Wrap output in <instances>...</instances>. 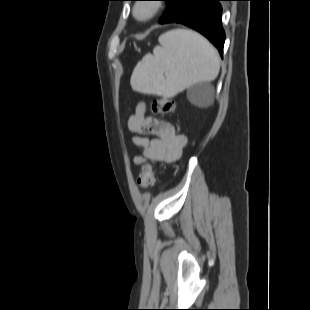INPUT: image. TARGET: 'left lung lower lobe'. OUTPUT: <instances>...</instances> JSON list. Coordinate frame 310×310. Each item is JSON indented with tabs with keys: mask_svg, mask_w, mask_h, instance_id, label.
Masks as SVG:
<instances>
[{
	"mask_svg": "<svg viewBox=\"0 0 310 310\" xmlns=\"http://www.w3.org/2000/svg\"><path fill=\"white\" fill-rule=\"evenodd\" d=\"M220 1L186 0L183 8L171 23L186 25L208 38L223 55L225 32L222 28Z\"/></svg>",
	"mask_w": 310,
	"mask_h": 310,
	"instance_id": "obj_1",
	"label": "left lung lower lobe"
}]
</instances>
